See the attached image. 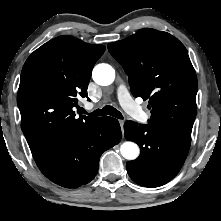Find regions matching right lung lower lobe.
<instances>
[{
  "label": "right lung lower lobe",
  "instance_id": "right-lung-lower-lobe-1",
  "mask_svg": "<svg viewBox=\"0 0 221 221\" xmlns=\"http://www.w3.org/2000/svg\"><path fill=\"white\" fill-rule=\"evenodd\" d=\"M121 137L118 120L101 117L36 163L52 182L66 188H76L89 183L96 176L102 153L118 144Z\"/></svg>",
  "mask_w": 221,
  "mask_h": 221
}]
</instances>
